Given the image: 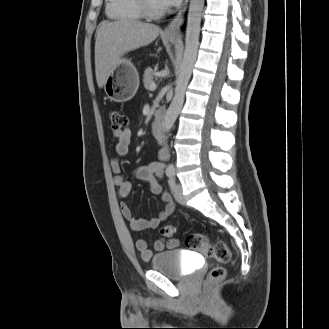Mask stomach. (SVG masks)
I'll use <instances>...</instances> for the list:
<instances>
[{"label":"stomach","instance_id":"0dacf381","mask_svg":"<svg viewBox=\"0 0 329 329\" xmlns=\"http://www.w3.org/2000/svg\"><path fill=\"white\" fill-rule=\"evenodd\" d=\"M174 43V37H168ZM139 87V75L136 67L126 58H120L110 72L104 84L107 97L114 102L123 103L131 100Z\"/></svg>","mask_w":329,"mask_h":329}]
</instances>
